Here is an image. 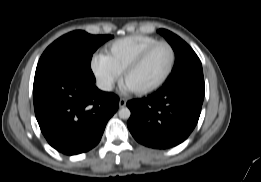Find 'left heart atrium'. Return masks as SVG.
<instances>
[{
    "instance_id": "39dd6f15",
    "label": "left heart atrium",
    "mask_w": 261,
    "mask_h": 182,
    "mask_svg": "<svg viewBox=\"0 0 261 182\" xmlns=\"http://www.w3.org/2000/svg\"><path fill=\"white\" fill-rule=\"evenodd\" d=\"M127 89L131 90L127 85H126Z\"/></svg>"
}]
</instances>
